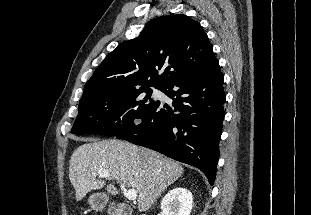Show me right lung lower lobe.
<instances>
[{
	"mask_svg": "<svg viewBox=\"0 0 311 215\" xmlns=\"http://www.w3.org/2000/svg\"><path fill=\"white\" fill-rule=\"evenodd\" d=\"M223 83L217 59L170 81L162 92L173 99L174 110L159 104L140 123L116 137L195 166L212 185L225 116Z\"/></svg>",
	"mask_w": 311,
	"mask_h": 215,
	"instance_id": "right-lung-lower-lobe-1",
	"label": "right lung lower lobe"
}]
</instances>
